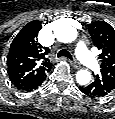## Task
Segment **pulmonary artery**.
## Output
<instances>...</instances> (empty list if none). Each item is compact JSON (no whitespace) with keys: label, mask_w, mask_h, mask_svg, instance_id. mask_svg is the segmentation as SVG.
I'll return each mask as SVG.
<instances>
[{"label":"pulmonary artery","mask_w":115,"mask_h":119,"mask_svg":"<svg viewBox=\"0 0 115 119\" xmlns=\"http://www.w3.org/2000/svg\"><path fill=\"white\" fill-rule=\"evenodd\" d=\"M75 53L79 60L89 68H99V63L96 58L91 54L84 41L79 40L76 44Z\"/></svg>","instance_id":"obj_1"}]
</instances>
